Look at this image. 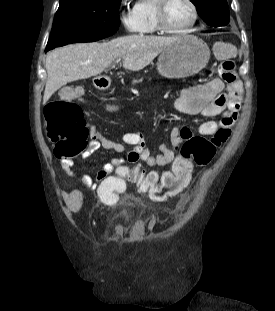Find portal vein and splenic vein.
Instances as JSON below:
<instances>
[{
	"label": "portal vein and splenic vein",
	"mask_w": 275,
	"mask_h": 311,
	"mask_svg": "<svg viewBox=\"0 0 275 311\" xmlns=\"http://www.w3.org/2000/svg\"><path fill=\"white\" fill-rule=\"evenodd\" d=\"M120 60H121L120 58H119V59H117V60H116V63H118Z\"/></svg>",
	"instance_id": "1"
}]
</instances>
